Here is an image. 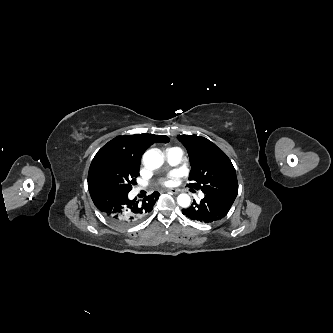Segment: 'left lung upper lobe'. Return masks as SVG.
Listing matches in <instances>:
<instances>
[{
	"mask_svg": "<svg viewBox=\"0 0 333 333\" xmlns=\"http://www.w3.org/2000/svg\"><path fill=\"white\" fill-rule=\"evenodd\" d=\"M186 147L191 164L188 187L235 200L238 183L235 169L225 153L201 136L178 135Z\"/></svg>",
	"mask_w": 333,
	"mask_h": 333,
	"instance_id": "1",
	"label": "left lung upper lobe"
}]
</instances>
